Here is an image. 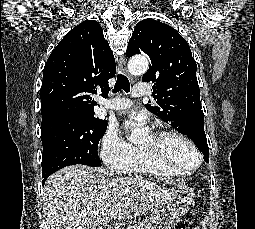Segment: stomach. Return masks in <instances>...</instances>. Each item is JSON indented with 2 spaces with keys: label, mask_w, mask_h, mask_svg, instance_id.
Masks as SVG:
<instances>
[{
  "label": "stomach",
  "mask_w": 255,
  "mask_h": 229,
  "mask_svg": "<svg viewBox=\"0 0 255 229\" xmlns=\"http://www.w3.org/2000/svg\"><path fill=\"white\" fill-rule=\"evenodd\" d=\"M194 190L183 188L174 190L164 203L157 206L152 216L155 229H170L173 222L184 216L194 205Z\"/></svg>",
  "instance_id": "stomach-1"
}]
</instances>
